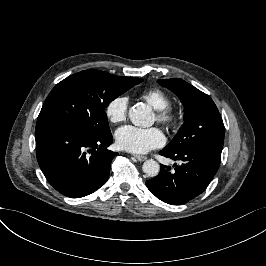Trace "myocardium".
I'll use <instances>...</instances> for the list:
<instances>
[{"label":"myocardium","instance_id":"myocardium-1","mask_svg":"<svg viewBox=\"0 0 266 266\" xmlns=\"http://www.w3.org/2000/svg\"><path fill=\"white\" fill-rule=\"evenodd\" d=\"M157 120L165 126H173L178 122L179 111L172 106L157 109Z\"/></svg>","mask_w":266,"mask_h":266}]
</instances>
